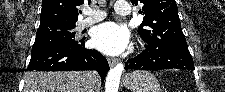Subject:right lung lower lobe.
Wrapping results in <instances>:
<instances>
[{"instance_id": "right-lung-lower-lobe-1", "label": "right lung lower lobe", "mask_w": 225, "mask_h": 92, "mask_svg": "<svg viewBox=\"0 0 225 92\" xmlns=\"http://www.w3.org/2000/svg\"><path fill=\"white\" fill-rule=\"evenodd\" d=\"M84 45V40H80L33 48L27 70H95L103 82L110 69L106 58L96 50L85 49Z\"/></svg>"}]
</instances>
